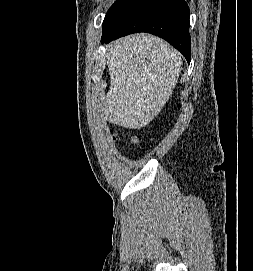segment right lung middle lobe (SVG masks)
<instances>
[{
	"label": "right lung middle lobe",
	"instance_id": "right-lung-middle-lobe-1",
	"mask_svg": "<svg viewBox=\"0 0 253 271\" xmlns=\"http://www.w3.org/2000/svg\"><path fill=\"white\" fill-rule=\"evenodd\" d=\"M135 0H116L103 21V32L112 30L122 19Z\"/></svg>",
	"mask_w": 253,
	"mask_h": 271
}]
</instances>
